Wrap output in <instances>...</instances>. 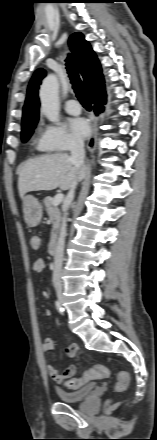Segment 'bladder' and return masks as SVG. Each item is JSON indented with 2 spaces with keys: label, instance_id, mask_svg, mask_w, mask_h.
I'll return each mask as SVG.
<instances>
[{
  "label": "bladder",
  "instance_id": "obj_1",
  "mask_svg": "<svg viewBox=\"0 0 157 440\" xmlns=\"http://www.w3.org/2000/svg\"><path fill=\"white\" fill-rule=\"evenodd\" d=\"M94 390L95 384L90 383L74 391L57 389L56 395L64 403H78L89 397Z\"/></svg>",
  "mask_w": 157,
  "mask_h": 440
}]
</instances>
